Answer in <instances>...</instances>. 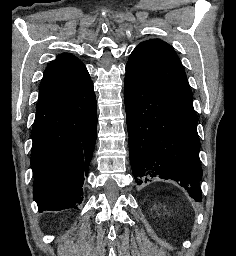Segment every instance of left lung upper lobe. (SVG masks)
<instances>
[{
    "label": "left lung upper lobe",
    "mask_w": 236,
    "mask_h": 256,
    "mask_svg": "<svg viewBox=\"0 0 236 256\" xmlns=\"http://www.w3.org/2000/svg\"><path fill=\"white\" fill-rule=\"evenodd\" d=\"M126 73L193 103L188 80L176 52L160 39L140 43L130 54Z\"/></svg>",
    "instance_id": "obj_1"
}]
</instances>
